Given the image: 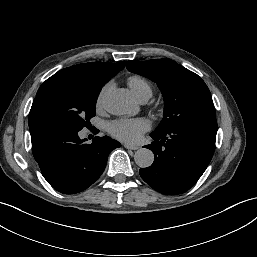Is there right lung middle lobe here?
I'll use <instances>...</instances> for the list:
<instances>
[{
	"label": "right lung middle lobe",
	"instance_id": "1",
	"mask_svg": "<svg viewBox=\"0 0 257 257\" xmlns=\"http://www.w3.org/2000/svg\"><path fill=\"white\" fill-rule=\"evenodd\" d=\"M102 85H93L58 71L39 88L29 113V127L46 126L62 131H80L95 116Z\"/></svg>",
	"mask_w": 257,
	"mask_h": 257
}]
</instances>
